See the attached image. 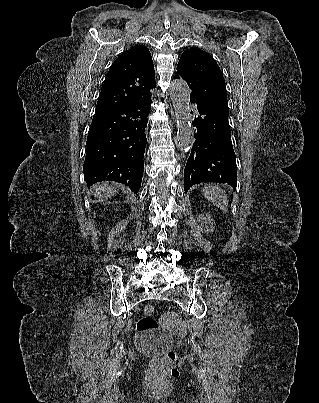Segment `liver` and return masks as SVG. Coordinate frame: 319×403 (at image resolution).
<instances>
[{"mask_svg": "<svg viewBox=\"0 0 319 403\" xmlns=\"http://www.w3.org/2000/svg\"><path fill=\"white\" fill-rule=\"evenodd\" d=\"M117 193L114 184L102 183L95 190L94 196L97 198H110Z\"/></svg>", "mask_w": 319, "mask_h": 403, "instance_id": "1", "label": "liver"}]
</instances>
